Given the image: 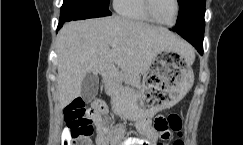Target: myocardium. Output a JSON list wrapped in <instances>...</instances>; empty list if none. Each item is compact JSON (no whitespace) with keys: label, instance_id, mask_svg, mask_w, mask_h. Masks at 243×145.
Returning <instances> with one entry per match:
<instances>
[{"label":"myocardium","instance_id":"obj_1","mask_svg":"<svg viewBox=\"0 0 243 145\" xmlns=\"http://www.w3.org/2000/svg\"><path fill=\"white\" fill-rule=\"evenodd\" d=\"M152 2L153 0H144V5H145V10L147 15L149 16V18L152 20V22L161 25V26H165V27H171L173 25L176 24L178 17H179V12H180V3L179 0H174L175 3V15H174V19L171 23L165 24L160 22L153 13V9H152Z\"/></svg>","mask_w":243,"mask_h":145}]
</instances>
